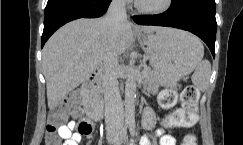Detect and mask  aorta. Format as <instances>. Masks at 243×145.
<instances>
[{
    "label": "aorta",
    "mask_w": 243,
    "mask_h": 145,
    "mask_svg": "<svg viewBox=\"0 0 243 145\" xmlns=\"http://www.w3.org/2000/svg\"><path fill=\"white\" fill-rule=\"evenodd\" d=\"M136 104V79L132 70L127 74L125 83V111L126 120L129 122L134 121Z\"/></svg>",
    "instance_id": "aorta-1"
}]
</instances>
